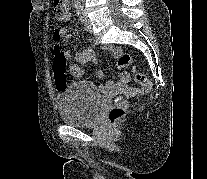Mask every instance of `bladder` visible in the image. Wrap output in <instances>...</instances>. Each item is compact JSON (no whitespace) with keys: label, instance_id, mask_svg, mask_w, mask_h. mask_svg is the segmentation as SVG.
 <instances>
[{"label":"bladder","instance_id":"obj_1","mask_svg":"<svg viewBox=\"0 0 207 179\" xmlns=\"http://www.w3.org/2000/svg\"><path fill=\"white\" fill-rule=\"evenodd\" d=\"M60 117L72 126H88L98 118L101 110V95L88 82H76L61 90L56 97Z\"/></svg>","mask_w":207,"mask_h":179}]
</instances>
